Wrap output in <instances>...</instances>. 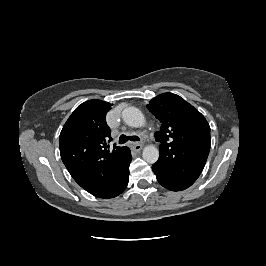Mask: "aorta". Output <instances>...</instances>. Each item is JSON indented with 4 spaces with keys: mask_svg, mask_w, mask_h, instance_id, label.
<instances>
[{
    "mask_svg": "<svg viewBox=\"0 0 266 266\" xmlns=\"http://www.w3.org/2000/svg\"><path fill=\"white\" fill-rule=\"evenodd\" d=\"M122 118L131 127L138 128L145 124L143 113L136 107L130 106L125 108L122 112ZM142 157L147 163L153 164L159 158V150L153 145H148L144 147Z\"/></svg>",
    "mask_w": 266,
    "mask_h": 266,
    "instance_id": "aorta-1",
    "label": "aorta"
}]
</instances>
